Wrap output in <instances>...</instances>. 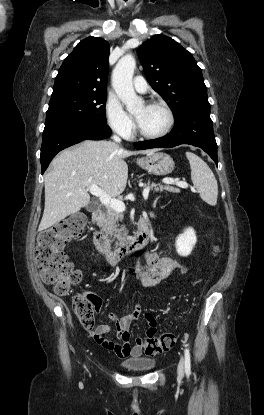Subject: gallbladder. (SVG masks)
<instances>
[{"instance_id":"obj_1","label":"gallbladder","mask_w":264,"mask_h":415,"mask_svg":"<svg viewBox=\"0 0 264 415\" xmlns=\"http://www.w3.org/2000/svg\"><path fill=\"white\" fill-rule=\"evenodd\" d=\"M87 208H88V209H91V208H92V205H89Z\"/></svg>"}]
</instances>
